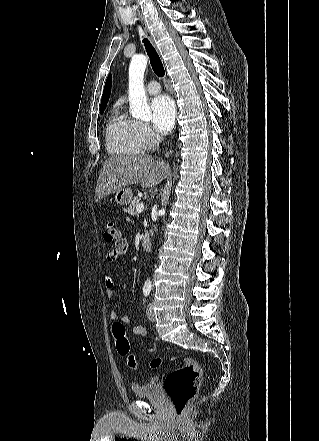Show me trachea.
Instances as JSON below:
<instances>
[{
  "instance_id": "trachea-1",
  "label": "trachea",
  "mask_w": 319,
  "mask_h": 441,
  "mask_svg": "<svg viewBox=\"0 0 319 441\" xmlns=\"http://www.w3.org/2000/svg\"><path fill=\"white\" fill-rule=\"evenodd\" d=\"M143 43L147 52V55L150 59V64L154 73H156L159 77H163L165 74V70L163 64L160 60L159 55L157 54L155 48L152 46L150 41L147 38L143 39Z\"/></svg>"
}]
</instances>
